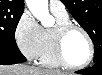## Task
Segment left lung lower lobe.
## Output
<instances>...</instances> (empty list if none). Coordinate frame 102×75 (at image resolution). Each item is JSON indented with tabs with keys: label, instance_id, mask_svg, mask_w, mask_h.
<instances>
[{
	"label": "left lung lower lobe",
	"instance_id": "1",
	"mask_svg": "<svg viewBox=\"0 0 102 75\" xmlns=\"http://www.w3.org/2000/svg\"><path fill=\"white\" fill-rule=\"evenodd\" d=\"M76 73L83 75H102V61H98L92 68L79 70Z\"/></svg>",
	"mask_w": 102,
	"mask_h": 75
}]
</instances>
